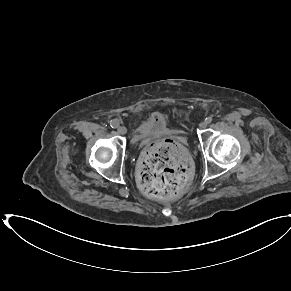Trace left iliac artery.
Masks as SVG:
<instances>
[{
  "mask_svg": "<svg viewBox=\"0 0 291 291\" xmlns=\"http://www.w3.org/2000/svg\"><path fill=\"white\" fill-rule=\"evenodd\" d=\"M213 120V117L212 116H209L205 119V121L207 122V124L211 123Z\"/></svg>",
  "mask_w": 291,
  "mask_h": 291,
  "instance_id": "44dca946",
  "label": "left iliac artery"
}]
</instances>
